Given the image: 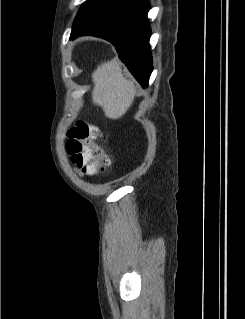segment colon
<instances>
[{
  "label": "colon",
  "instance_id": "1",
  "mask_svg": "<svg viewBox=\"0 0 245 319\" xmlns=\"http://www.w3.org/2000/svg\"><path fill=\"white\" fill-rule=\"evenodd\" d=\"M99 131L85 121L79 120L68 131L66 143L71 161L89 175L104 171L110 165V158L98 142Z\"/></svg>",
  "mask_w": 245,
  "mask_h": 319
}]
</instances>
